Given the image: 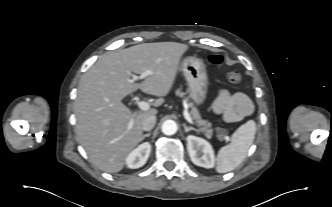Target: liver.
Masks as SVG:
<instances>
[{"label":"liver","mask_w":332,"mask_h":207,"mask_svg":"<svg viewBox=\"0 0 332 207\" xmlns=\"http://www.w3.org/2000/svg\"><path fill=\"white\" fill-rule=\"evenodd\" d=\"M188 46L176 42L144 43L109 52L82 75L75 100L76 133L90 161L100 170L116 173L127 155L142 141V123L155 108L134 113L121 100L141 89L164 97L172 88L182 55ZM152 73L140 83L133 74ZM132 77V78H131ZM164 102L157 99L153 105ZM132 128L128 131V124Z\"/></svg>","instance_id":"obj_1"}]
</instances>
